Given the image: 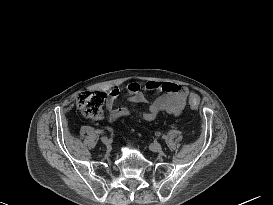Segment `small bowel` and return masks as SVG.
<instances>
[{
	"mask_svg": "<svg viewBox=\"0 0 273 205\" xmlns=\"http://www.w3.org/2000/svg\"><path fill=\"white\" fill-rule=\"evenodd\" d=\"M160 91V95L149 99L147 92ZM126 97L137 104H146L147 109L144 111L130 107H116L115 103L120 96L118 88L112 89L106 98L105 109L107 118L110 121H117L122 117L135 115L143 120L152 121L160 112L178 116L186 108L188 100L197 98L195 92L185 86L175 83H158L147 81L143 86L138 82H129L125 88Z\"/></svg>",
	"mask_w": 273,
	"mask_h": 205,
	"instance_id": "1",
	"label": "small bowel"
}]
</instances>
